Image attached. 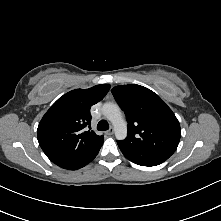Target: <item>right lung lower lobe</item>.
Masks as SVG:
<instances>
[{
	"instance_id": "98d812e1",
	"label": "right lung lower lobe",
	"mask_w": 221,
	"mask_h": 221,
	"mask_svg": "<svg viewBox=\"0 0 221 221\" xmlns=\"http://www.w3.org/2000/svg\"><path fill=\"white\" fill-rule=\"evenodd\" d=\"M99 150L91 158H89L85 163H83L79 168H81V167L85 166L86 164H88L89 162H91L96 157V155L98 154Z\"/></svg>"
}]
</instances>
